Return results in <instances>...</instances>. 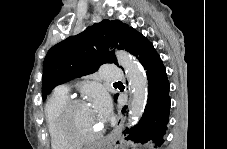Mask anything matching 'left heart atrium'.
Masks as SVG:
<instances>
[{
  "instance_id": "1",
  "label": "left heart atrium",
  "mask_w": 227,
  "mask_h": 149,
  "mask_svg": "<svg viewBox=\"0 0 227 149\" xmlns=\"http://www.w3.org/2000/svg\"><path fill=\"white\" fill-rule=\"evenodd\" d=\"M95 108L100 121L106 120L109 115L110 104L105 94L102 93L96 94Z\"/></svg>"
}]
</instances>
